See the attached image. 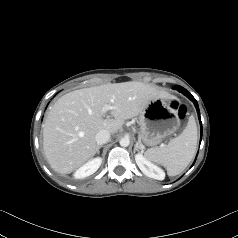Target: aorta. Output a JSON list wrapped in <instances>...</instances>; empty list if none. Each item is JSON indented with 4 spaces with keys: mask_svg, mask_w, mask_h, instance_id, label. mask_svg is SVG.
<instances>
[{
    "mask_svg": "<svg viewBox=\"0 0 238 238\" xmlns=\"http://www.w3.org/2000/svg\"><path fill=\"white\" fill-rule=\"evenodd\" d=\"M120 146H122V147H127V146H129V144H130V140H129V138H127V137H124V138H122L121 140H120Z\"/></svg>",
    "mask_w": 238,
    "mask_h": 238,
    "instance_id": "aorta-1",
    "label": "aorta"
}]
</instances>
